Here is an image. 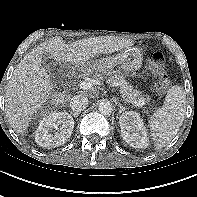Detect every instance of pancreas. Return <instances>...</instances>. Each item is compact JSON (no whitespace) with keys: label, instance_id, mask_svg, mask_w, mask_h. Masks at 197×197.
<instances>
[{"label":"pancreas","instance_id":"obj_1","mask_svg":"<svg viewBox=\"0 0 197 197\" xmlns=\"http://www.w3.org/2000/svg\"><path fill=\"white\" fill-rule=\"evenodd\" d=\"M93 78L97 81L104 79V77L99 73L93 75ZM107 82L112 86H116L120 89L121 96L126 102L132 103L134 101H139L140 99H142L141 93L138 90L133 89V87L120 74H110L107 78Z\"/></svg>","mask_w":197,"mask_h":197}]
</instances>
